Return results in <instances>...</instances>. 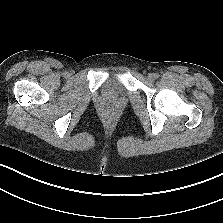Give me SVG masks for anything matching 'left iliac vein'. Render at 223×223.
Listing matches in <instances>:
<instances>
[{
	"label": "left iliac vein",
	"instance_id": "1",
	"mask_svg": "<svg viewBox=\"0 0 223 223\" xmlns=\"http://www.w3.org/2000/svg\"><path fill=\"white\" fill-rule=\"evenodd\" d=\"M148 79H149V80H154V79H155V74H153V73H149V74H148Z\"/></svg>",
	"mask_w": 223,
	"mask_h": 223
}]
</instances>
